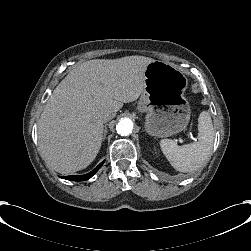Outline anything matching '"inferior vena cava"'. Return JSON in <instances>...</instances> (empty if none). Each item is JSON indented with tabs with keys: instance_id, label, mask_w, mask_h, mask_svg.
Returning a JSON list of instances; mask_svg holds the SVG:
<instances>
[{
	"instance_id": "602c4592",
	"label": "inferior vena cava",
	"mask_w": 251,
	"mask_h": 251,
	"mask_svg": "<svg viewBox=\"0 0 251 251\" xmlns=\"http://www.w3.org/2000/svg\"><path fill=\"white\" fill-rule=\"evenodd\" d=\"M114 117H115V113H111V114H109V115L103 117V121H104V122H107V121H109L110 119H112V118H114Z\"/></svg>"
}]
</instances>
